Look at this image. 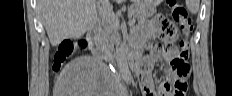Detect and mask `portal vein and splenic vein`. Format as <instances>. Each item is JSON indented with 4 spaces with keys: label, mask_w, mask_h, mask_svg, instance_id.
Returning <instances> with one entry per match:
<instances>
[{
    "label": "portal vein and splenic vein",
    "mask_w": 232,
    "mask_h": 96,
    "mask_svg": "<svg viewBox=\"0 0 232 96\" xmlns=\"http://www.w3.org/2000/svg\"><path fill=\"white\" fill-rule=\"evenodd\" d=\"M101 2L103 3V6L106 7L109 10V8H110L109 7V1L108 0H101ZM104 11H105V8H104ZM107 15H108L109 18H115L116 17L114 13L109 12V11H108ZM129 23L134 24L135 19H130Z\"/></svg>",
    "instance_id": "18ae733b"
}]
</instances>
